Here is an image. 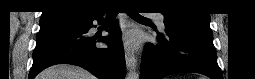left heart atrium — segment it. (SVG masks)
<instances>
[{
    "mask_svg": "<svg viewBox=\"0 0 255 79\" xmlns=\"http://www.w3.org/2000/svg\"><path fill=\"white\" fill-rule=\"evenodd\" d=\"M125 46L128 49H135L139 44V37L136 32L130 31L123 36Z\"/></svg>",
    "mask_w": 255,
    "mask_h": 79,
    "instance_id": "left-heart-atrium-1",
    "label": "left heart atrium"
}]
</instances>
